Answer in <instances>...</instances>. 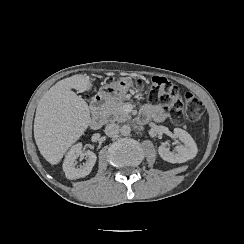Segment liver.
<instances>
[{
	"mask_svg": "<svg viewBox=\"0 0 244 244\" xmlns=\"http://www.w3.org/2000/svg\"><path fill=\"white\" fill-rule=\"evenodd\" d=\"M92 87L81 74L60 80L40 99L34 119V138L41 155L52 165L60 162L68 148L91 123L90 109L79 92Z\"/></svg>",
	"mask_w": 244,
	"mask_h": 244,
	"instance_id": "liver-1",
	"label": "liver"
}]
</instances>
